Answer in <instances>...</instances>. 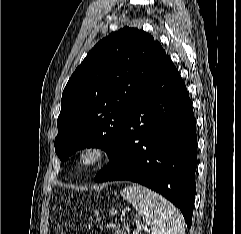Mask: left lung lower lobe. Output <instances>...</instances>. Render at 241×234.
Returning a JSON list of instances; mask_svg holds the SVG:
<instances>
[{
    "mask_svg": "<svg viewBox=\"0 0 241 234\" xmlns=\"http://www.w3.org/2000/svg\"><path fill=\"white\" fill-rule=\"evenodd\" d=\"M196 147L191 100L178 70L165 54L127 112L111 162L94 181L140 183L176 205L191 227Z\"/></svg>",
    "mask_w": 241,
    "mask_h": 234,
    "instance_id": "obj_1",
    "label": "left lung lower lobe"
}]
</instances>
